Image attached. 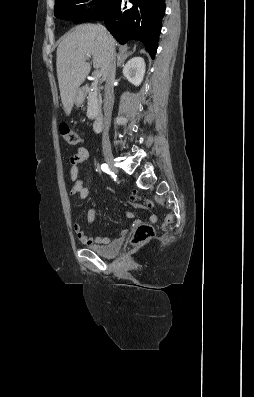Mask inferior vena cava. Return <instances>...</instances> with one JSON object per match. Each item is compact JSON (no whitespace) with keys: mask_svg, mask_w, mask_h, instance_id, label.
Wrapping results in <instances>:
<instances>
[{"mask_svg":"<svg viewBox=\"0 0 254 397\" xmlns=\"http://www.w3.org/2000/svg\"><path fill=\"white\" fill-rule=\"evenodd\" d=\"M115 74H116L115 54L114 52H111L107 66L106 79H105L106 83H105V92H104V131L102 136L103 148H110L109 127H110L111 113L114 104L113 83L115 80Z\"/></svg>","mask_w":254,"mask_h":397,"instance_id":"602c4592","label":"inferior vena cava"}]
</instances>
